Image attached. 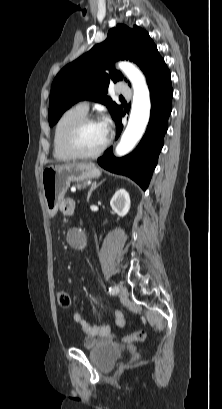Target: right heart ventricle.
Wrapping results in <instances>:
<instances>
[{"instance_id":"e07e8e85","label":"right heart ventricle","mask_w":222,"mask_h":409,"mask_svg":"<svg viewBox=\"0 0 222 409\" xmlns=\"http://www.w3.org/2000/svg\"><path fill=\"white\" fill-rule=\"evenodd\" d=\"M87 112L81 110L78 106L66 110L58 119L53 137V156L58 161H70L74 157L67 151L65 138L69 129L81 118L86 116Z\"/></svg>"}]
</instances>
